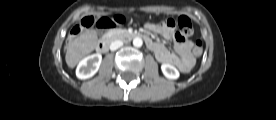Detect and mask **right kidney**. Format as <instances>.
<instances>
[{
	"label": "right kidney",
	"mask_w": 276,
	"mask_h": 120,
	"mask_svg": "<svg viewBox=\"0 0 276 120\" xmlns=\"http://www.w3.org/2000/svg\"><path fill=\"white\" fill-rule=\"evenodd\" d=\"M102 55L92 54L82 59L76 69V76L79 79H88L94 76L101 65Z\"/></svg>",
	"instance_id": "1"
}]
</instances>
